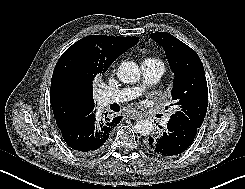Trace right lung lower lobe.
Here are the masks:
<instances>
[{
    "label": "right lung lower lobe",
    "instance_id": "obj_1",
    "mask_svg": "<svg viewBox=\"0 0 245 189\" xmlns=\"http://www.w3.org/2000/svg\"><path fill=\"white\" fill-rule=\"evenodd\" d=\"M122 116L99 118L96 110L59 127L64 141L69 147L80 153H94L103 149L111 131L120 122Z\"/></svg>",
    "mask_w": 245,
    "mask_h": 189
}]
</instances>
